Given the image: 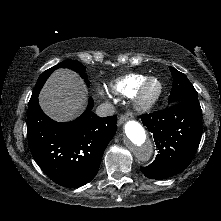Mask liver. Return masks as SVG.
Here are the masks:
<instances>
[{
    "mask_svg": "<svg viewBox=\"0 0 221 221\" xmlns=\"http://www.w3.org/2000/svg\"><path fill=\"white\" fill-rule=\"evenodd\" d=\"M42 110L53 120L67 122L78 117L87 104V89L69 69L54 71L39 95Z\"/></svg>",
    "mask_w": 221,
    "mask_h": 221,
    "instance_id": "obj_1",
    "label": "liver"
}]
</instances>
